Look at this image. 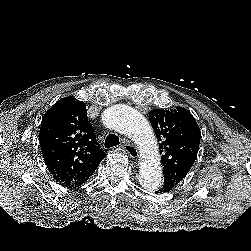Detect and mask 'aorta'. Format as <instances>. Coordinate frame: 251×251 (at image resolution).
Masks as SVG:
<instances>
[{
    "mask_svg": "<svg viewBox=\"0 0 251 251\" xmlns=\"http://www.w3.org/2000/svg\"><path fill=\"white\" fill-rule=\"evenodd\" d=\"M103 124L114 131L125 134L138 145L142 160L139 182L148 192H155L163 182L157 140L146 118L126 105H115L102 113Z\"/></svg>",
    "mask_w": 251,
    "mask_h": 251,
    "instance_id": "obj_1",
    "label": "aorta"
}]
</instances>
